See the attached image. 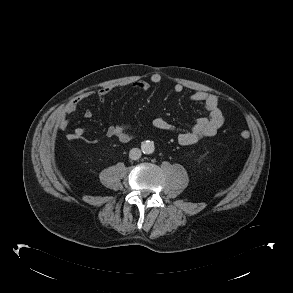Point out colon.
Segmentation results:
<instances>
[{
  "instance_id": "colon-1",
  "label": "colon",
  "mask_w": 293,
  "mask_h": 293,
  "mask_svg": "<svg viewBox=\"0 0 293 293\" xmlns=\"http://www.w3.org/2000/svg\"><path fill=\"white\" fill-rule=\"evenodd\" d=\"M249 137H250V133H249V131H247V130H243V131H241L240 134H239V138H240L241 140H247Z\"/></svg>"
}]
</instances>
